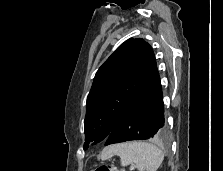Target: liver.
Returning <instances> with one entry per match:
<instances>
[{"label":"liver","mask_w":223,"mask_h":171,"mask_svg":"<svg viewBox=\"0 0 223 171\" xmlns=\"http://www.w3.org/2000/svg\"><path fill=\"white\" fill-rule=\"evenodd\" d=\"M116 147H117V145L105 148L103 150V153H102V156H101L102 160H105V159L111 157L113 154H115Z\"/></svg>","instance_id":"1"}]
</instances>
